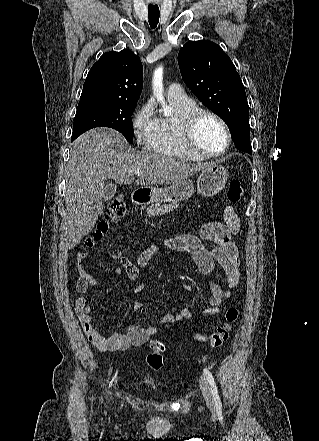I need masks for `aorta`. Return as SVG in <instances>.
<instances>
[{
	"label": "aorta",
	"mask_w": 319,
	"mask_h": 441,
	"mask_svg": "<svg viewBox=\"0 0 319 441\" xmlns=\"http://www.w3.org/2000/svg\"><path fill=\"white\" fill-rule=\"evenodd\" d=\"M153 93L157 99L162 103V110L165 116L171 115V108L165 106L163 97V67L159 66L155 69L152 80Z\"/></svg>",
	"instance_id": "obj_1"
}]
</instances>
